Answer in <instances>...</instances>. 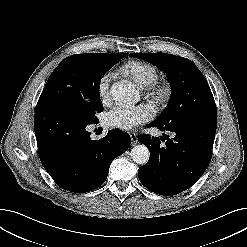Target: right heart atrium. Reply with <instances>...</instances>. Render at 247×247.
I'll list each match as a JSON object with an SVG mask.
<instances>
[{"mask_svg":"<svg viewBox=\"0 0 247 247\" xmlns=\"http://www.w3.org/2000/svg\"><path fill=\"white\" fill-rule=\"evenodd\" d=\"M111 80V74H104L99 78L97 82V94L103 104H107L110 101Z\"/></svg>","mask_w":247,"mask_h":247,"instance_id":"d8ad5b80","label":"right heart atrium"}]
</instances>
